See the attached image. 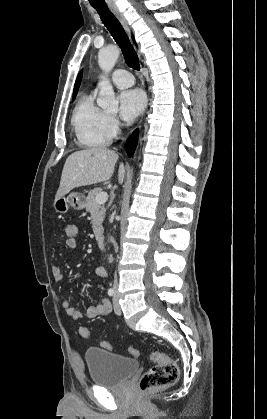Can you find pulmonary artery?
<instances>
[{"mask_svg":"<svg viewBox=\"0 0 267 419\" xmlns=\"http://www.w3.org/2000/svg\"><path fill=\"white\" fill-rule=\"evenodd\" d=\"M111 81L117 87L126 88L134 84V77L130 72L123 69H119L112 73Z\"/></svg>","mask_w":267,"mask_h":419,"instance_id":"1","label":"pulmonary artery"}]
</instances>
